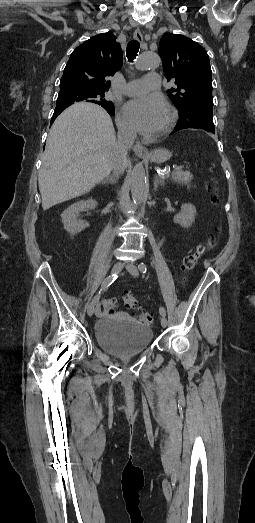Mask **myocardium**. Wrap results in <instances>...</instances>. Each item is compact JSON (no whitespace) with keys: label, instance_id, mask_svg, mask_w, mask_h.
<instances>
[{"label":"myocardium","instance_id":"myocardium-1","mask_svg":"<svg viewBox=\"0 0 255 523\" xmlns=\"http://www.w3.org/2000/svg\"><path fill=\"white\" fill-rule=\"evenodd\" d=\"M165 106L170 110V113H171L170 123H169L167 129L161 135L155 136V137H149V138H147L148 141H154V140H158L160 138H163L165 136H168L173 131V129L176 126V123L178 121V111H177V109L173 105L168 103V102H165Z\"/></svg>","mask_w":255,"mask_h":523}]
</instances>
